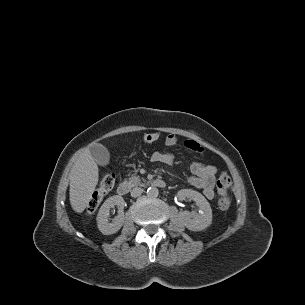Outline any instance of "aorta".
Listing matches in <instances>:
<instances>
[{
    "label": "aorta",
    "instance_id": "aorta-1",
    "mask_svg": "<svg viewBox=\"0 0 305 305\" xmlns=\"http://www.w3.org/2000/svg\"><path fill=\"white\" fill-rule=\"evenodd\" d=\"M158 194H159V191L156 187L152 186L147 189V196L150 198H155L158 196Z\"/></svg>",
    "mask_w": 305,
    "mask_h": 305
}]
</instances>
